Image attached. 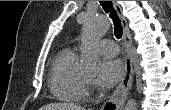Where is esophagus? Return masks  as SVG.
Returning <instances> with one entry per match:
<instances>
[{
    "instance_id": "1",
    "label": "esophagus",
    "mask_w": 171,
    "mask_h": 110,
    "mask_svg": "<svg viewBox=\"0 0 171 110\" xmlns=\"http://www.w3.org/2000/svg\"><path fill=\"white\" fill-rule=\"evenodd\" d=\"M113 6L117 11L122 27H123V36H124V44L126 50V57H125V72L123 78L113 92L109 100L103 105L102 110H121L125 100L129 94V91L132 87L133 83V76H134V69H133V62H132V40L131 34L127 25V21L122 14V9L120 5L113 1Z\"/></svg>"
}]
</instances>
